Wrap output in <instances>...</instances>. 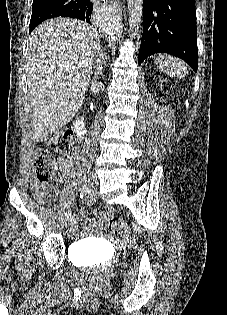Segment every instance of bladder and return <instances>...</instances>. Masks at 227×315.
Masks as SVG:
<instances>
[{"label":"bladder","mask_w":227,"mask_h":315,"mask_svg":"<svg viewBox=\"0 0 227 315\" xmlns=\"http://www.w3.org/2000/svg\"><path fill=\"white\" fill-rule=\"evenodd\" d=\"M91 243L88 242V241H79V242H76V246H78L79 248H83V247H88L90 246ZM95 251H98L97 249H94ZM80 266H83V265H80Z\"/></svg>","instance_id":"31cf9c89"}]
</instances>
